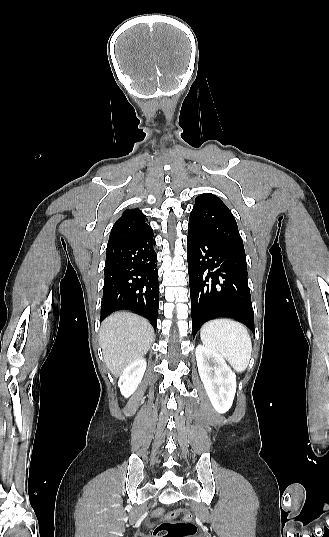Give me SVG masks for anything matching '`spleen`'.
Instances as JSON below:
<instances>
[{
    "mask_svg": "<svg viewBox=\"0 0 329 537\" xmlns=\"http://www.w3.org/2000/svg\"><path fill=\"white\" fill-rule=\"evenodd\" d=\"M200 337L205 346L225 357L237 372L248 367L252 343L242 323L226 318L214 319L202 326Z\"/></svg>",
    "mask_w": 329,
    "mask_h": 537,
    "instance_id": "1",
    "label": "spleen"
}]
</instances>
